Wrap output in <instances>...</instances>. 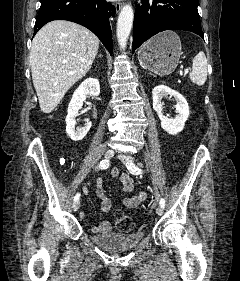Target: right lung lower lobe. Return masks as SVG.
Wrapping results in <instances>:
<instances>
[{"label": "right lung lower lobe", "instance_id": "1", "mask_svg": "<svg viewBox=\"0 0 240 281\" xmlns=\"http://www.w3.org/2000/svg\"><path fill=\"white\" fill-rule=\"evenodd\" d=\"M34 35L46 23L68 20L91 30L112 54L113 42L109 17L115 15V6L105 0H40Z\"/></svg>", "mask_w": 240, "mask_h": 281}]
</instances>
